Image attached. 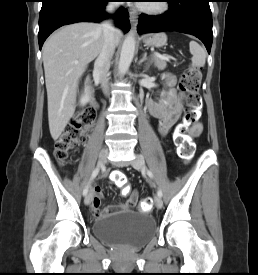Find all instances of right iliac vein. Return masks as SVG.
Here are the masks:
<instances>
[{"label":"right iliac vein","instance_id":"obj_1","mask_svg":"<svg viewBox=\"0 0 258 275\" xmlns=\"http://www.w3.org/2000/svg\"><path fill=\"white\" fill-rule=\"evenodd\" d=\"M108 148H103L99 154V164L102 165L103 163H105L106 159H107V156H108ZM91 199H92V193H89L86 195L85 197V204L86 205H89L90 202H91Z\"/></svg>","mask_w":258,"mask_h":275}]
</instances>
